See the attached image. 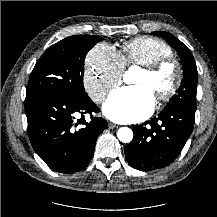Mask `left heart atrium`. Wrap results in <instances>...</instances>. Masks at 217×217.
Listing matches in <instances>:
<instances>
[{
  "label": "left heart atrium",
  "instance_id": "left-heart-atrium-1",
  "mask_svg": "<svg viewBox=\"0 0 217 217\" xmlns=\"http://www.w3.org/2000/svg\"><path fill=\"white\" fill-rule=\"evenodd\" d=\"M154 95L143 86H128L111 93L103 105L104 114L120 123L137 122L153 110Z\"/></svg>",
  "mask_w": 217,
  "mask_h": 217
}]
</instances>
